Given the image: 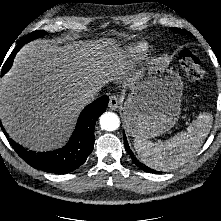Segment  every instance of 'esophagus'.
<instances>
[{
  "label": "esophagus",
  "mask_w": 221,
  "mask_h": 221,
  "mask_svg": "<svg viewBox=\"0 0 221 221\" xmlns=\"http://www.w3.org/2000/svg\"><path fill=\"white\" fill-rule=\"evenodd\" d=\"M119 100L115 95L110 96V100H109V108L111 110H116L119 107Z\"/></svg>",
  "instance_id": "obj_1"
}]
</instances>
